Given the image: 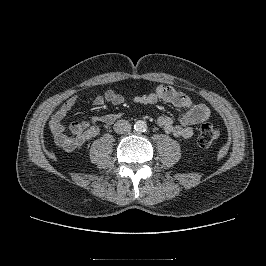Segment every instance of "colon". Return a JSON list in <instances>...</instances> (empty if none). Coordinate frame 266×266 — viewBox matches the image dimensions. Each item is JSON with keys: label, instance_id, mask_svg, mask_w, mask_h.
<instances>
[{"label": "colon", "instance_id": "obj_1", "mask_svg": "<svg viewBox=\"0 0 266 266\" xmlns=\"http://www.w3.org/2000/svg\"><path fill=\"white\" fill-rule=\"evenodd\" d=\"M219 131L211 123H203L198 132L197 143L200 147H208L212 145L218 138Z\"/></svg>", "mask_w": 266, "mask_h": 266}]
</instances>
